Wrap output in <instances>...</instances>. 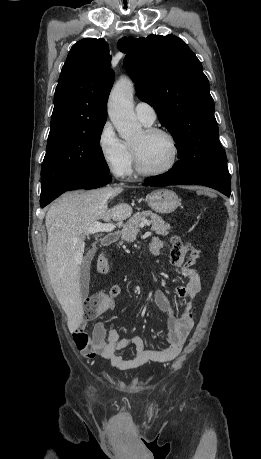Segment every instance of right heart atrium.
I'll use <instances>...</instances> for the list:
<instances>
[{
	"instance_id": "d8ad5b80",
	"label": "right heart atrium",
	"mask_w": 261,
	"mask_h": 459,
	"mask_svg": "<svg viewBox=\"0 0 261 459\" xmlns=\"http://www.w3.org/2000/svg\"><path fill=\"white\" fill-rule=\"evenodd\" d=\"M99 153L110 172L117 176L130 173L132 155L127 144L119 138L112 123L106 121L97 137Z\"/></svg>"
}]
</instances>
